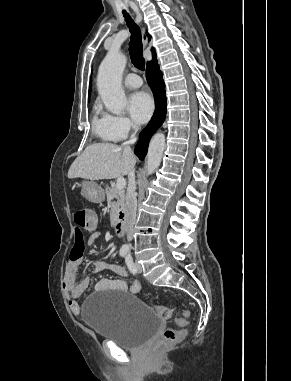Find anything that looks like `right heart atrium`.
<instances>
[{
  "instance_id": "d8ad5b80",
  "label": "right heart atrium",
  "mask_w": 291,
  "mask_h": 381,
  "mask_svg": "<svg viewBox=\"0 0 291 381\" xmlns=\"http://www.w3.org/2000/svg\"><path fill=\"white\" fill-rule=\"evenodd\" d=\"M107 126L111 133L118 139H124L135 128L133 122L123 115H104Z\"/></svg>"
}]
</instances>
